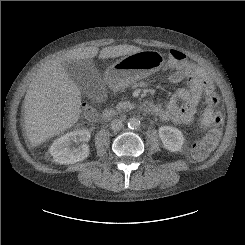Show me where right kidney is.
Masks as SVG:
<instances>
[{
	"instance_id": "obj_1",
	"label": "right kidney",
	"mask_w": 245,
	"mask_h": 245,
	"mask_svg": "<svg viewBox=\"0 0 245 245\" xmlns=\"http://www.w3.org/2000/svg\"><path fill=\"white\" fill-rule=\"evenodd\" d=\"M90 136V132L85 129L66 133L54 141L49 152L54 161L59 164H74L82 161L89 155L87 142L90 140ZM73 143L78 146L72 147Z\"/></svg>"
}]
</instances>
